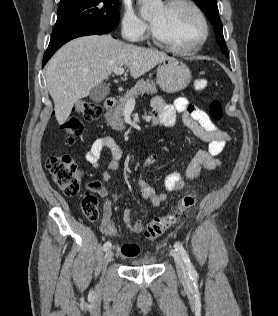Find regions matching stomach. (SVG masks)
I'll use <instances>...</instances> for the list:
<instances>
[{"label": "stomach", "instance_id": "0dacf381", "mask_svg": "<svg viewBox=\"0 0 278 316\" xmlns=\"http://www.w3.org/2000/svg\"><path fill=\"white\" fill-rule=\"evenodd\" d=\"M191 72L187 65L175 58H168L159 63L157 83L167 93H175L185 89L191 80Z\"/></svg>", "mask_w": 278, "mask_h": 316}]
</instances>
